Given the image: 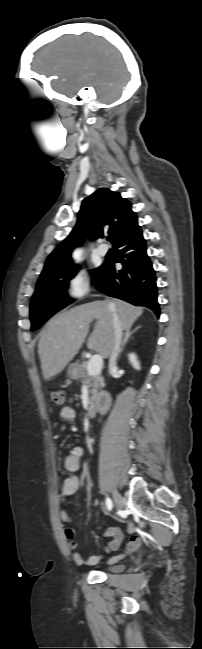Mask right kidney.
I'll return each instance as SVG.
<instances>
[{
  "mask_svg": "<svg viewBox=\"0 0 202 649\" xmlns=\"http://www.w3.org/2000/svg\"><path fill=\"white\" fill-rule=\"evenodd\" d=\"M128 358H129V361L132 364V366L135 369L139 370L140 369V364H139V361L137 360V356L134 353H130L128 355Z\"/></svg>",
  "mask_w": 202,
  "mask_h": 649,
  "instance_id": "ca27d5eb",
  "label": "right kidney"
}]
</instances>
